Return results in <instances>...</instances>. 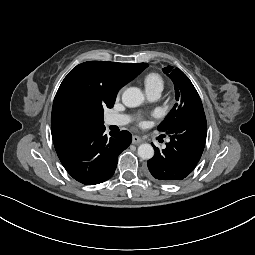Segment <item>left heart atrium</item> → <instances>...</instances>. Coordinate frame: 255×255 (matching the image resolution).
I'll list each match as a JSON object with an SVG mask.
<instances>
[{
  "label": "left heart atrium",
  "instance_id": "left-heart-atrium-1",
  "mask_svg": "<svg viewBox=\"0 0 255 255\" xmlns=\"http://www.w3.org/2000/svg\"><path fill=\"white\" fill-rule=\"evenodd\" d=\"M143 123H144L143 121L140 122V124H143Z\"/></svg>",
  "mask_w": 255,
  "mask_h": 255
}]
</instances>
